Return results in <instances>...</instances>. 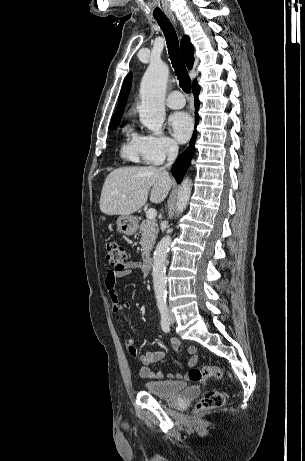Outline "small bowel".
<instances>
[{
    "label": "small bowel",
    "instance_id": "c3829d8e",
    "mask_svg": "<svg viewBox=\"0 0 305 461\" xmlns=\"http://www.w3.org/2000/svg\"><path fill=\"white\" fill-rule=\"evenodd\" d=\"M136 270H140L145 276V271L142 265L136 261H129L125 264L124 268L117 270H111L107 273L105 278V288L108 292L109 299L112 304V310L116 315L117 320H121L124 315V310L129 308V304L124 302L117 289V281L120 278L131 276ZM124 343L127 347L129 354L132 357H137L139 351L135 346V338L132 334H128L124 338ZM171 346L174 350H178L180 347V341L176 338L171 339ZM188 354L191 355L187 364L189 367H193L198 363V356L196 355L197 349L195 346H189L187 348ZM165 356V353L161 350L159 351H148L140 356L141 367L139 369V375L142 378L149 379H160L163 377V373L160 371H153L150 366L154 363L159 362ZM169 377L171 378H180L186 379L187 374L181 373H170Z\"/></svg>",
    "mask_w": 305,
    "mask_h": 461
}]
</instances>
